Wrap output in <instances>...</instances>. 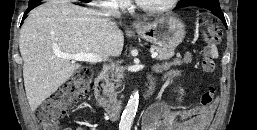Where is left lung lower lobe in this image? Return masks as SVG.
<instances>
[{
	"mask_svg": "<svg viewBox=\"0 0 257 130\" xmlns=\"http://www.w3.org/2000/svg\"><path fill=\"white\" fill-rule=\"evenodd\" d=\"M200 4H203L205 6L204 8L210 10L214 15L218 16L226 24L224 14L221 11L219 2L211 1V0H204V1L200 2Z\"/></svg>",
	"mask_w": 257,
	"mask_h": 130,
	"instance_id": "obj_1",
	"label": "left lung lower lobe"
}]
</instances>
